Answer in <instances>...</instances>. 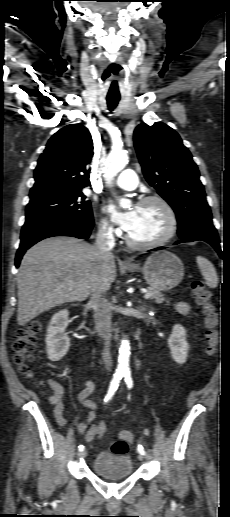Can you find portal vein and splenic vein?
Returning a JSON list of instances; mask_svg holds the SVG:
<instances>
[{
  "mask_svg": "<svg viewBox=\"0 0 230 517\" xmlns=\"http://www.w3.org/2000/svg\"><path fill=\"white\" fill-rule=\"evenodd\" d=\"M151 296H152V293L151 292H147V293H145L144 298L145 299H149Z\"/></svg>",
  "mask_w": 230,
  "mask_h": 517,
  "instance_id": "1",
  "label": "portal vein and splenic vein"
}]
</instances>
